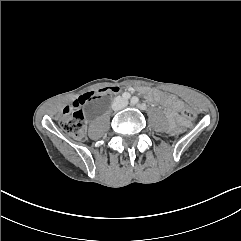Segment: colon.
<instances>
[{
	"label": "colon",
	"mask_w": 241,
	"mask_h": 241,
	"mask_svg": "<svg viewBox=\"0 0 241 241\" xmlns=\"http://www.w3.org/2000/svg\"><path fill=\"white\" fill-rule=\"evenodd\" d=\"M116 90L117 87H105L82 95L78 102L74 103L70 107H67L64 111V114L60 119L61 129L74 139H84L86 136V123L83 112L78 109V104H82L91 98L108 95ZM182 114L187 120H192L196 117L195 111L189 107H186ZM169 134L171 136H183L185 134V129L179 125H174L169 129Z\"/></svg>",
	"instance_id": "obj_1"
}]
</instances>
